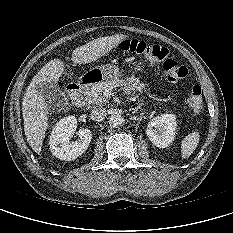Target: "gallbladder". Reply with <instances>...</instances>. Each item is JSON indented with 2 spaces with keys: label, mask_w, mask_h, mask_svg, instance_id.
I'll return each mask as SVG.
<instances>
[{
  "label": "gallbladder",
  "mask_w": 233,
  "mask_h": 233,
  "mask_svg": "<svg viewBox=\"0 0 233 233\" xmlns=\"http://www.w3.org/2000/svg\"><path fill=\"white\" fill-rule=\"evenodd\" d=\"M37 91L44 98L50 109L62 110L67 107L68 99L63 91L51 82H42L37 86Z\"/></svg>",
  "instance_id": "obj_1"
}]
</instances>
